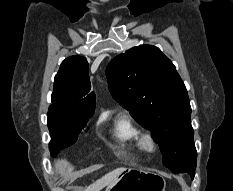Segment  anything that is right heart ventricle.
I'll use <instances>...</instances> for the list:
<instances>
[{
	"label": "right heart ventricle",
	"mask_w": 233,
	"mask_h": 191,
	"mask_svg": "<svg viewBox=\"0 0 233 191\" xmlns=\"http://www.w3.org/2000/svg\"><path fill=\"white\" fill-rule=\"evenodd\" d=\"M112 137L125 149L143 151L140 127L127 115H119L111 129Z\"/></svg>",
	"instance_id": "e07e8e85"
}]
</instances>
